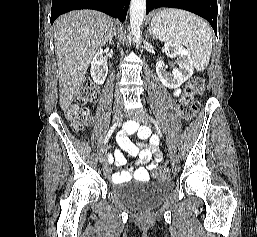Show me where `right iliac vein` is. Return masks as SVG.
<instances>
[{
  "label": "right iliac vein",
  "instance_id": "obj_1",
  "mask_svg": "<svg viewBox=\"0 0 257 237\" xmlns=\"http://www.w3.org/2000/svg\"><path fill=\"white\" fill-rule=\"evenodd\" d=\"M123 116V109L121 107H114L113 109V119L114 121H119ZM107 147L104 146L101 150L100 162H105L106 160Z\"/></svg>",
  "mask_w": 257,
  "mask_h": 237
}]
</instances>
